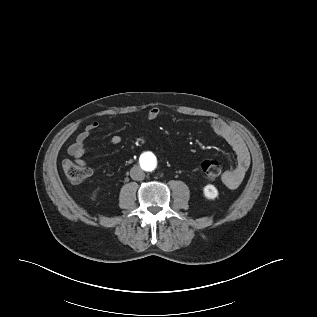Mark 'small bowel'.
<instances>
[{"label":"small bowel","instance_id":"obj_1","mask_svg":"<svg viewBox=\"0 0 317 317\" xmlns=\"http://www.w3.org/2000/svg\"><path fill=\"white\" fill-rule=\"evenodd\" d=\"M161 115V109L159 107H153L148 112V117L151 120H156ZM209 126L212 131L225 142H227L237 160V164L234 169L227 171L223 175V183L230 189L237 188L249 168L250 156L248 150L240 137V135L225 121L220 118H209ZM99 129V123L93 122L86 126V128L77 136L75 141L68 147V153L79 164H85L83 156L87 151L86 141L90 135ZM121 142L119 135H112L109 137V143L117 145Z\"/></svg>","mask_w":317,"mask_h":317}]
</instances>
